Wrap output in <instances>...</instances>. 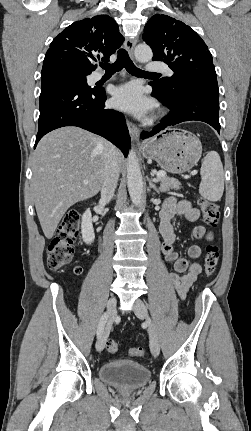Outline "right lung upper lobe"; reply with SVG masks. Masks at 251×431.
<instances>
[{"label":"right lung upper lobe","instance_id":"1","mask_svg":"<svg viewBox=\"0 0 251 431\" xmlns=\"http://www.w3.org/2000/svg\"><path fill=\"white\" fill-rule=\"evenodd\" d=\"M123 41L117 23L108 15L76 21L51 42L43 68L62 60L92 72L96 69V58L109 61L110 55L115 53Z\"/></svg>","mask_w":251,"mask_h":431}]
</instances>
